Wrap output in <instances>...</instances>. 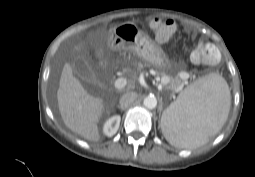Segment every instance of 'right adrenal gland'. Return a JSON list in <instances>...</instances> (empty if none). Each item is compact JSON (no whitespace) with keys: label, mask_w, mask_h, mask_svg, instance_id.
I'll use <instances>...</instances> for the list:
<instances>
[{"label":"right adrenal gland","mask_w":255,"mask_h":177,"mask_svg":"<svg viewBox=\"0 0 255 177\" xmlns=\"http://www.w3.org/2000/svg\"><path fill=\"white\" fill-rule=\"evenodd\" d=\"M117 108H120L121 109V111H124L125 110V108H122L121 106H119V105H117Z\"/></svg>","instance_id":"right-adrenal-gland-1"}]
</instances>
